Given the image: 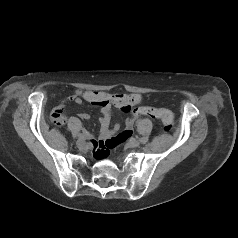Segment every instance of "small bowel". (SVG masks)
I'll return each instance as SVG.
<instances>
[{"label":"small bowel","instance_id":"1","mask_svg":"<svg viewBox=\"0 0 238 238\" xmlns=\"http://www.w3.org/2000/svg\"><path fill=\"white\" fill-rule=\"evenodd\" d=\"M66 101L74 102L78 105H81L84 101L89 102L95 106L100 107L101 117L99 119L100 122V130L103 138H109L114 136L119 131V125H115L113 128H110L111 121V111L112 104L125 112H129L132 106L140 103L141 96L138 94H114L110 95L108 93L102 91H90V90H80L77 89L74 94L68 96ZM64 102L59 104L57 107L53 109L52 119L55 122L53 114L55 111H59V118L56 120L57 125L65 124L67 117L63 112ZM81 119H89V115L87 113L79 114ZM134 120L132 118L128 119L125 123L126 130L130 131L133 128Z\"/></svg>","mask_w":238,"mask_h":238}]
</instances>
